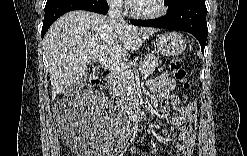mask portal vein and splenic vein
Returning a JSON list of instances; mask_svg holds the SVG:
<instances>
[{
    "mask_svg": "<svg viewBox=\"0 0 247 156\" xmlns=\"http://www.w3.org/2000/svg\"><path fill=\"white\" fill-rule=\"evenodd\" d=\"M99 62L103 67L108 68L113 73L134 77V73L126 65H122V64H118V63H112V62L107 61L106 59H103V58H100Z\"/></svg>",
    "mask_w": 247,
    "mask_h": 156,
    "instance_id": "obj_1",
    "label": "portal vein and splenic vein"
}]
</instances>
